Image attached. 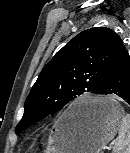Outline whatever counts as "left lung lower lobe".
<instances>
[{
	"mask_svg": "<svg viewBox=\"0 0 130 153\" xmlns=\"http://www.w3.org/2000/svg\"><path fill=\"white\" fill-rule=\"evenodd\" d=\"M98 94H114L130 104V59L123 43L103 74ZM86 113L87 109L84 108L75 114L82 116Z\"/></svg>",
	"mask_w": 130,
	"mask_h": 153,
	"instance_id": "left-lung-lower-lobe-1",
	"label": "left lung lower lobe"
}]
</instances>
